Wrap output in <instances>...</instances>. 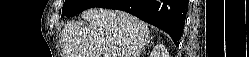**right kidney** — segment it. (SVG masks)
<instances>
[{"label": "right kidney", "instance_id": "obj_1", "mask_svg": "<svg viewBox=\"0 0 249 57\" xmlns=\"http://www.w3.org/2000/svg\"><path fill=\"white\" fill-rule=\"evenodd\" d=\"M161 52L164 54H167V50L165 49L164 46H160Z\"/></svg>", "mask_w": 249, "mask_h": 57}]
</instances>
